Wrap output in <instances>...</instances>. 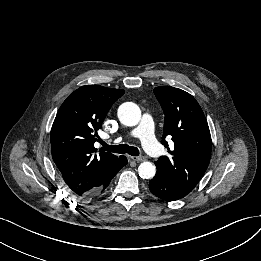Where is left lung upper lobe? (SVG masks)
<instances>
[{"instance_id": "5c2ea615", "label": "left lung upper lobe", "mask_w": 261, "mask_h": 261, "mask_svg": "<svg viewBox=\"0 0 261 261\" xmlns=\"http://www.w3.org/2000/svg\"><path fill=\"white\" fill-rule=\"evenodd\" d=\"M155 96L165 114L161 141L171 157L155 162L157 171L184 194H189L206 171L212 149L210 130L198 102L189 93L170 86L156 87ZM172 138L170 150L166 137Z\"/></svg>"}]
</instances>
